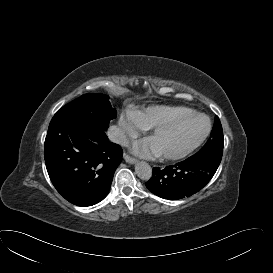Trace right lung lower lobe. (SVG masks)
<instances>
[{
  "mask_svg": "<svg viewBox=\"0 0 273 273\" xmlns=\"http://www.w3.org/2000/svg\"><path fill=\"white\" fill-rule=\"evenodd\" d=\"M123 151L105 130L61 118L50 122L44 144L46 168L56 190L77 206H92L109 192Z\"/></svg>",
  "mask_w": 273,
  "mask_h": 273,
  "instance_id": "98d812e1",
  "label": "right lung lower lobe"
}]
</instances>
